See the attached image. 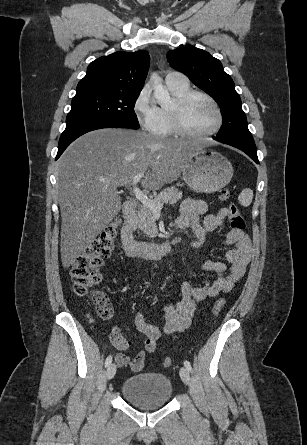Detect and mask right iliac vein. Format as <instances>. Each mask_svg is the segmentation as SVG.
Instances as JSON below:
<instances>
[{"label": "right iliac vein", "mask_w": 307, "mask_h": 445, "mask_svg": "<svg viewBox=\"0 0 307 445\" xmlns=\"http://www.w3.org/2000/svg\"><path fill=\"white\" fill-rule=\"evenodd\" d=\"M116 373V365L114 363L110 364L106 370V379L111 380Z\"/></svg>", "instance_id": "right-iliac-vein-1"}]
</instances>
